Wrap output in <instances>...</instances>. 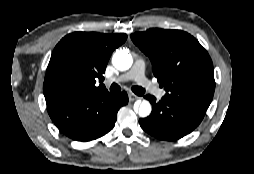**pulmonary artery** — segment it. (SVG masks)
Here are the masks:
<instances>
[{
	"label": "pulmonary artery",
	"instance_id": "e3ab8cb5",
	"mask_svg": "<svg viewBox=\"0 0 254 174\" xmlns=\"http://www.w3.org/2000/svg\"><path fill=\"white\" fill-rule=\"evenodd\" d=\"M145 63L142 59H137L133 65V67L126 73L120 75L116 81L117 82H125L129 80H134L139 86L143 89L151 92L158 98H161L165 95V91L157 88L151 81H149L145 74Z\"/></svg>",
	"mask_w": 254,
	"mask_h": 174
}]
</instances>
